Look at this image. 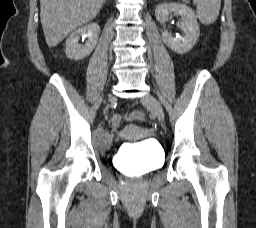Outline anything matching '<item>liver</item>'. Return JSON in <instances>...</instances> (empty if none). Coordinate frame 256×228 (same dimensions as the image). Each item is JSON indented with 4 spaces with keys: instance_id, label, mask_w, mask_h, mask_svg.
Returning <instances> with one entry per match:
<instances>
[{
    "instance_id": "6515ba94",
    "label": "liver",
    "mask_w": 256,
    "mask_h": 228,
    "mask_svg": "<svg viewBox=\"0 0 256 228\" xmlns=\"http://www.w3.org/2000/svg\"><path fill=\"white\" fill-rule=\"evenodd\" d=\"M105 0H40V19L48 47L94 19Z\"/></svg>"
}]
</instances>
